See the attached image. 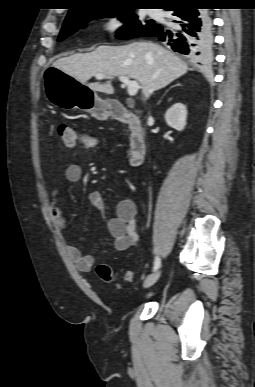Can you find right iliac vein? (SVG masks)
I'll use <instances>...</instances> for the list:
<instances>
[{"instance_id": "63e3f726", "label": "right iliac vein", "mask_w": 255, "mask_h": 387, "mask_svg": "<svg viewBox=\"0 0 255 387\" xmlns=\"http://www.w3.org/2000/svg\"><path fill=\"white\" fill-rule=\"evenodd\" d=\"M160 277V271H156L152 274H150L144 281V284L143 286L145 288H148L150 286H152L153 284H155L157 282V280L159 279Z\"/></svg>"}]
</instances>
